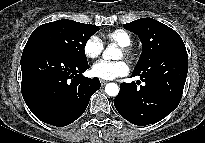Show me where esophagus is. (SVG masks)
<instances>
[{
	"mask_svg": "<svg viewBox=\"0 0 205 143\" xmlns=\"http://www.w3.org/2000/svg\"><path fill=\"white\" fill-rule=\"evenodd\" d=\"M100 83H101L102 86H104V85H106V84L108 83V81H106V80H100Z\"/></svg>",
	"mask_w": 205,
	"mask_h": 143,
	"instance_id": "esophagus-1",
	"label": "esophagus"
}]
</instances>
